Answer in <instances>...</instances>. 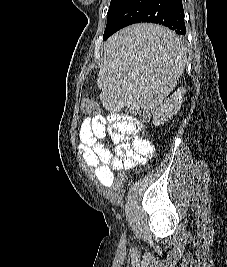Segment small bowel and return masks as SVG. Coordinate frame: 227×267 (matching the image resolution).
Wrapping results in <instances>:
<instances>
[{"label": "small bowel", "instance_id": "1", "mask_svg": "<svg viewBox=\"0 0 227 267\" xmlns=\"http://www.w3.org/2000/svg\"><path fill=\"white\" fill-rule=\"evenodd\" d=\"M141 129L140 122L130 115L87 116L83 119L79 129V151L102 186H113L115 171L125 169V166L133 169L144 165L153 156L154 145L139 135ZM107 133L117 146L115 151L103 142Z\"/></svg>", "mask_w": 227, "mask_h": 267}]
</instances>
